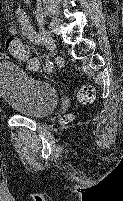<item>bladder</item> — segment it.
I'll use <instances>...</instances> for the list:
<instances>
[{
  "label": "bladder",
  "mask_w": 123,
  "mask_h": 201,
  "mask_svg": "<svg viewBox=\"0 0 123 201\" xmlns=\"http://www.w3.org/2000/svg\"><path fill=\"white\" fill-rule=\"evenodd\" d=\"M0 92L5 103L31 118L46 117L58 105L54 85L28 75L12 60H0Z\"/></svg>",
  "instance_id": "1"
}]
</instances>
